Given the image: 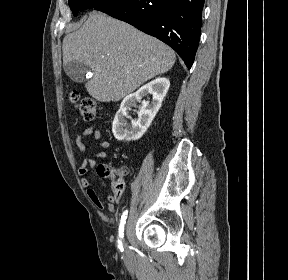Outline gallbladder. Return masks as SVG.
Returning a JSON list of instances; mask_svg holds the SVG:
<instances>
[{
	"label": "gallbladder",
	"mask_w": 288,
	"mask_h": 280,
	"mask_svg": "<svg viewBox=\"0 0 288 280\" xmlns=\"http://www.w3.org/2000/svg\"><path fill=\"white\" fill-rule=\"evenodd\" d=\"M64 71L74 82L80 83L85 80L88 66L80 61H70L64 64Z\"/></svg>",
	"instance_id": "obj_1"
}]
</instances>
